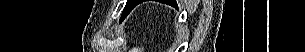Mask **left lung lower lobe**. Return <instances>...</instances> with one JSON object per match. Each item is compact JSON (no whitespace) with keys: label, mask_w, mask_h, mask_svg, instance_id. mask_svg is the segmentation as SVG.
I'll list each match as a JSON object with an SVG mask.
<instances>
[{"label":"left lung lower lobe","mask_w":305,"mask_h":52,"mask_svg":"<svg viewBox=\"0 0 305 52\" xmlns=\"http://www.w3.org/2000/svg\"><path fill=\"white\" fill-rule=\"evenodd\" d=\"M142 2H143V0H139V1L137 2V4L142 3Z\"/></svg>","instance_id":"1"}]
</instances>
